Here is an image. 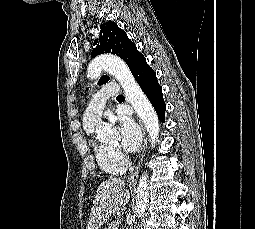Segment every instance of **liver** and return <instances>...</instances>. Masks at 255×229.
I'll return each instance as SVG.
<instances>
[{"mask_svg": "<svg viewBox=\"0 0 255 229\" xmlns=\"http://www.w3.org/2000/svg\"><path fill=\"white\" fill-rule=\"evenodd\" d=\"M125 182L121 178L103 181L95 195L86 229H99L120 207L130 199L129 190L124 192Z\"/></svg>", "mask_w": 255, "mask_h": 229, "instance_id": "6515ba94", "label": "liver"}]
</instances>
